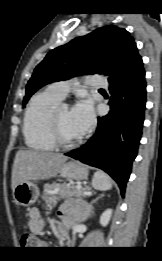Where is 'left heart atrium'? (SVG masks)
<instances>
[{
    "instance_id": "1",
    "label": "left heart atrium",
    "mask_w": 162,
    "mask_h": 261,
    "mask_svg": "<svg viewBox=\"0 0 162 261\" xmlns=\"http://www.w3.org/2000/svg\"><path fill=\"white\" fill-rule=\"evenodd\" d=\"M70 117L77 131L82 135L94 124V111L91 102L80 100L70 111Z\"/></svg>"
}]
</instances>
